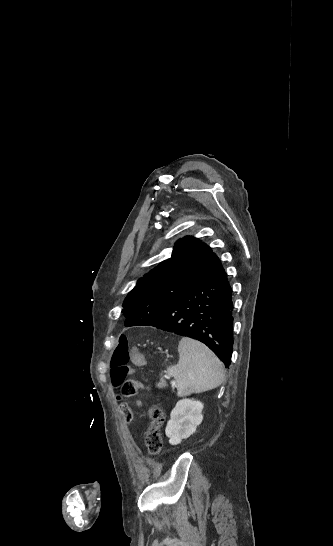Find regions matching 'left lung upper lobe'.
Returning a JSON list of instances; mask_svg holds the SVG:
<instances>
[{
  "label": "left lung upper lobe",
  "mask_w": 333,
  "mask_h": 546,
  "mask_svg": "<svg viewBox=\"0 0 333 546\" xmlns=\"http://www.w3.org/2000/svg\"><path fill=\"white\" fill-rule=\"evenodd\" d=\"M211 254V248L197 238L178 240L172 257L138 280L124 300L123 314L138 315L141 324L154 323L162 309L189 288Z\"/></svg>",
  "instance_id": "5c2ea615"
}]
</instances>
